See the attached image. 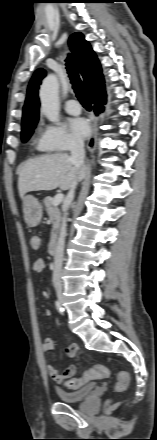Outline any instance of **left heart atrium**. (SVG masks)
I'll list each match as a JSON object with an SVG mask.
<instances>
[{
  "mask_svg": "<svg viewBox=\"0 0 157 440\" xmlns=\"http://www.w3.org/2000/svg\"><path fill=\"white\" fill-rule=\"evenodd\" d=\"M71 132L80 139H86L90 136L91 129L89 123L83 118L69 119Z\"/></svg>",
  "mask_w": 157,
  "mask_h": 440,
  "instance_id": "1",
  "label": "left heart atrium"
}]
</instances>
